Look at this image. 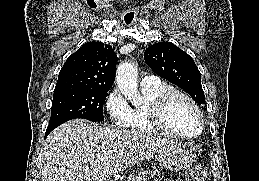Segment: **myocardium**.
Returning <instances> with one entry per match:
<instances>
[{
    "label": "myocardium",
    "instance_id": "myocardium-1",
    "mask_svg": "<svg viewBox=\"0 0 259 181\" xmlns=\"http://www.w3.org/2000/svg\"><path fill=\"white\" fill-rule=\"evenodd\" d=\"M181 98L186 100L196 111L199 120H200V127L199 130L195 134H183L174 130L167 122V112L172 104V102L177 99ZM151 116L153 123L158 127L161 131L165 134L175 136L182 139H192L200 136L205 127V119L203 112L196 101L189 96L188 94L181 92L176 89H170L162 93L158 96L151 106Z\"/></svg>",
    "mask_w": 259,
    "mask_h": 181
}]
</instances>
